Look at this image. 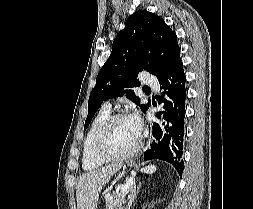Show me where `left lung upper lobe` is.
<instances>
[{
    "instance_id": "obj_1",
    "label": "left lung upper lobe",
    "mask_w": 253,
    "mask_h": 209,
    "mask_svg": "<svg viewBox=\"0 0 253 209\" xmlns=\"http://www.w3.org/2000/svg\"><path fill=\"white\" fill-rule=\"evenodd\" d=\"M177 35L165 21L146 10L136 11L127 18L125 28L115 38L111 55L100 69L88 102L84 130L104 100L122 96L140 105L133 88L140 86L137 77L146 70L161 80L180 61ZM151 105H140L145 113Z\"/></svg>"
}]
</instances>
